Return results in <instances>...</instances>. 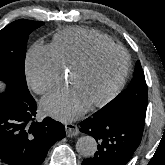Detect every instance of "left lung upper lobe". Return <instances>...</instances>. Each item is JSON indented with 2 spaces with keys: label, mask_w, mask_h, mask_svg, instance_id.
I'll use <instances>...</instances> for the list:
<instances>
[{
  "label": "left lung upper lobe",
  "mask_w": 165,
  "mask_h": 165,
  "mask_svg": "<svg viewBox=\"0 0 165 165\" xmlns=\"http://www.w3.org/2000/svg\"><path fill=\"white\" fill-rule=\"evenodd\" d=\"M147 102L148 92L145 76L140 62L137 61L129 86L93 115L99 118L145 121Z\"/></svg>",
  "instance_id": "left-lung-upper-lobe-1"
}]
</instances>
